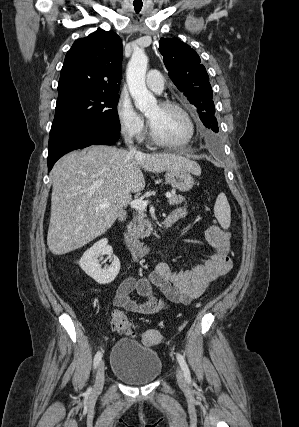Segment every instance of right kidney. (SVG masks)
Segmentation results:
<instances>
[{
  "mask_svg": "<svg viewBox=\"0 0 299 427\" xmlns=\"http://www.w3.org/2000/svg\"><path fill=\"white\" fill-rule=\"evenodd\" d=\"M108 255L112 258V264L109 267L101 268L99 257ZM79 265L82 270L99 284H108L112 282L120 271V261L113 255L112 247L108 245L106 238L96 242L81 257Z\"/></svg>",
  "mask_w": 299,
  "mask_h": 427,
  "instance_id": "right-kidney-1",
  "label": "right kidney"
}]
</instances>
